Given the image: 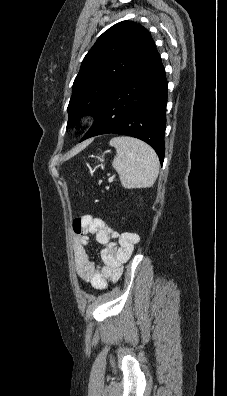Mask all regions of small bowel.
Returning a JSON list of instances; mask_svg holds the SVG:
<instances>
[{"mask_svg":"<svg viewBox=\"0 0 227 396\" xmlns=\"http://www.w3.org/2000/svg\"><path fill=\"white\" fill-rule=\"evenodd\" d=\"M73 230V252L77 273L99 290L105 289L108 281L118 280L123 271V264L129 260L139 242L138 234L120 233L109 227L101 218L92 215L75 219ZM88 235H93L103 246L100 251V265H96L88 255Z\"/></svg>","mask_w":227,"mask_h":396,"instance_id":"1","label":"small bowel"}]
</instances>
